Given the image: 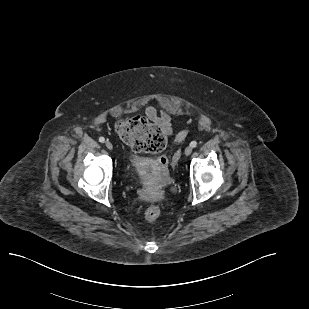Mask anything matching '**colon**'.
<instances>
[{"label":"colon","instance_id":"colon-1","mask_svg":"<svg viewBox=\"0 0 309 309\" xmlns=\"http://www.w3.org/2000/svg\"><path fill=\"white\" fill-rule=\"evenodd\" d=\"M115 130L119 138L133 150L146 153H160L167 146V138L163 131L150 123L144 117L136 115L117 122ZM187 136L185 131L180 132L176 141L180 142ZM168 157L159 158V165L163 172L168 168ZM160 215L158 206L151 205L145 211V219L148 222L155 221Z\"/></svg>","mask_w":309,"mask_h":309}]
</instances>
